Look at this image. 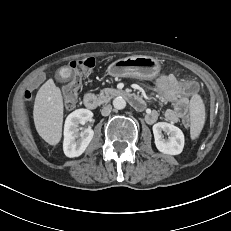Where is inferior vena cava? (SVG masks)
<instances>
[{
    "mask_svg": "<svg viewBox=\"0 0 231 231\" xmlns=\"http://www.w3.org/2000/svg\"><path fill=\"white\" fill-rule=\"evenodd\" d=\"M111 110H112V106L111 105H106L102 108L101 110V114L103 116H108L110 113H111Z\"/></svg>",
    "mask_w": 231,
    "mask_h": 231,
    "instance_id": "inferior-vena-cava-1",
    "label": "inferior vena cava"
}]
</instances>
